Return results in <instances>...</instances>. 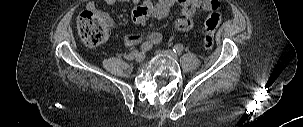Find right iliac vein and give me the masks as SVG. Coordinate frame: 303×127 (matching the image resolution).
Wrapping results in <instances>:
<instances>
[{
	"instance_id": "right-iliac-vein-1",
	"label": "right iliac vein",
	"mask_w": 303,
	"mask_h": 127,
	"mask_svg": "<svg viewBox=\"0 0 303 127\" xmlns=\"http://www.w3.org/2000/svg\"><path fill=\"white\" fill-rule=\"evenodd\" d=\"M136 62L141 63L145 60V53L144 52H140L136 55L135 57Z\"/></svg>"
}]
</instances>
